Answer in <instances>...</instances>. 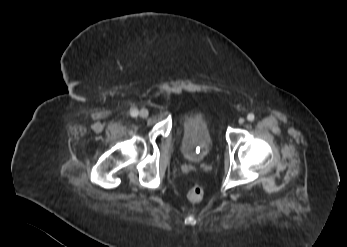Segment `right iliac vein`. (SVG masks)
<instances>
[{"mask_svg":"<svg viewBox=\"0 0 347 247\" xmlns=\"http://www.w3.org/2000/svg\"><path fill=\"white\" fill-rule=\"evenodd\" d=\"M148 114H149V112H148V110L147 109H141L140 110V112H139V116L141 117V118H146L147 116H148Z\"/></svg>","mask_w":347,"mask_h":247,"instance_id":"obj_1","label":"right iliac vein"}]
</instances>
